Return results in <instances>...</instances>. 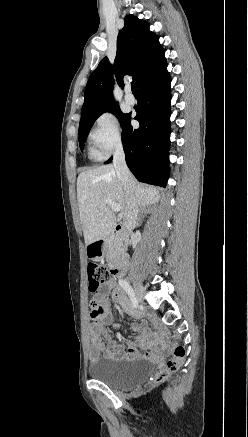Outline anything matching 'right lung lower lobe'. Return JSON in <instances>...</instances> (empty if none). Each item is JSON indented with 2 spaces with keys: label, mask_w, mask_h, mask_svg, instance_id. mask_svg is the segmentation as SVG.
<instances>
[{
  "label": "right lung lower lobe",
  "mask_w": 248,
  "mask_h": 437,
  "mask_svg": "<svg viewBox=\"0 0 248 437\" xmlns=\"http://www.w3.org/2000/svg\"><path fill=\"white\" fill-rule=\"evenodd\" d=\"M170 83L165 60L138 86L140 98L134 119L140 127L132 128L130 115L122 130L123 149L131 172L140 182L162 187L169 177ZM111 161L112 157L106 164Z\"/></svg>",
  "instance_id": "right-lung-lower-lobe-1"
}]
</instances>
